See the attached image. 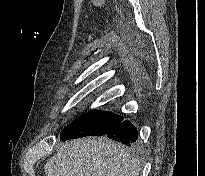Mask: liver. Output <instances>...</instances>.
Masks as SVG:
<instances>
[{"mask_svg":"<svg viewBox=\"0 0 205 176\" xmlns=\"http://www.w3.org/2000/svg\"><path fill=\"white\" fill-rule=\"evenodd\" d=\"M44 171L46 176H139L140 163L118 143L82 138L63 144Z\"/></svg>","mask_w":205,"mask_h":176,"instance_id":"1","label":"liver"}]
</instances>
